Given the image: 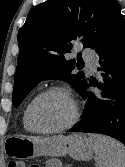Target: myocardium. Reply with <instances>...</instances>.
Returning a JSON list of instances; mask_svg holds the SVG:
<instances>
[{
  "label": "myocardium",
  "mask_w": 125,
  "mask_h": 167,
  "mask_svg": "<svg viewBox=\"0 0 125 167\" xmlns=\"http://www.w3.org/2000/svg\"><path fill=\"white\" fill-rule=\"evenodd\" d=\"M52 93H59L67 98V100L69 101V103L71 105V109H72L71 116L66 123H64L63 125H61L59 127L52 128V129L36 128L32 123L33 108H34L35 104L41 98H43L46 95L52 94ZM78 116H79V110H78V105H77V102L75 100L74 95L72 94L70 89H68L67 87H64V86H60V85L50 86V87L46 88L45 90H43L42 92H40L39 94H37L32 99V101L29 103L28 108H27V120H28L29 126H30L32 131H34L36 133H40V134H52V133H58V132L65 131V130L71 128L76 123Z\"/></svg>",
  "instance_id": "myocardium-1"
}]
</instances>
